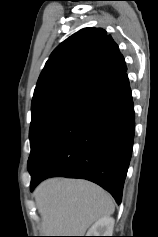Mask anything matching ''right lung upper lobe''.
<instances>
[{"instance_id": "1", "label": "right lung upper lobe", "mask_w": 158, "mask_h": 237, "mask_svg": "<svg viewBox=\"0 0 158 237\" xmlns=\"http://www.w3.org/2000/svg\"><path fill=\"white\" fill-rule=\"evenodd\" d=\"M127 71L117 44L101 28H84L63 41L50 55L32 99L68 96L85 102Z\"/></svg>"}]
</instances>
